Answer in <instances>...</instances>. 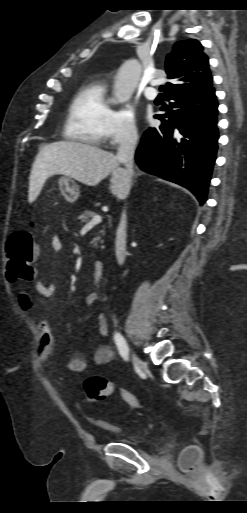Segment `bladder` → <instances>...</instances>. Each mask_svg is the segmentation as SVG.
Wrapping results in <instances>:
<instances>
[{
	"instance_id": "bladder-1",
	"label": "bladder",
	"mask_w": 247,
	"mask_h": 513,
	"mask_svg": "<svg viewBox=\"0 0 247 513\" xmlns=\"http://www.w3.org/2000/svg\"><path fill=\"white\" fill-rule=\"evenodd\" d=\"M97 425L102 427V428H105L107 430H110L114 433H117V434H120L121 433V429L117 426H114L110 423H106V422H97Z\"/></svg>"
}]
</instances>
